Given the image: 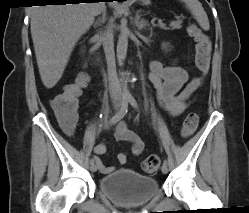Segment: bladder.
Segmentation results:
<instances>
[{
    "instance_id": "obj_1",
    "label": "bladder",
    "mask_w": 249,
    "mask_h": 213,
    "mask_svg": "<svg viewBox=\"0 0 249 213\" xmlns=\"http://www.w3.org/2000/svg\"><path fill=\"white\" fill-rule=\"evenodd\" d=\"M99 190L121 206H139L159 190L157 181L132 169L117 170L99 180Z\"/></svg>"
}]
</instances>
